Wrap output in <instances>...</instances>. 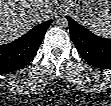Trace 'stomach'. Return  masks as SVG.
<instances>
[{
	"instance_id": "1",
	"label": "stomach",
	"mask_w": 111,
	"mask_h": 106,
	"mask_svg": "<svg viewBox=\"0 0 111 106\" xmlns=\"http://www.w3.org/2000/svg\"><path fill=\"white\" fill-rule=\"evenodd\" d=\"M67 4L70 9L80 13L83 21L87 24L93 18H104L110 8V3L107 0L69 1Z\"/></svg>"
}]
</instances>
